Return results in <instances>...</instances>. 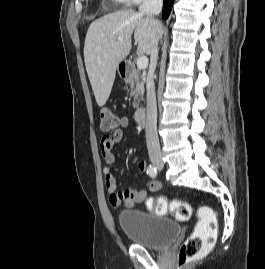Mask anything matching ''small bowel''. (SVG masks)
Wrapping results in <instances>:
<instances>
[{"mask_svg": "<svg viewBox=\"0 0 265 269\" xmlns=\"http://www.w3.org/2000/svg\"><path fill=\"white\" fill-rule=\"evenodd\" d=\"M129 126V119L123 117L121 119V127L126 128ZM123 137V131L120 129L114 134L105 136L101 140V153L107 164L103 168L104 181L106 189L109 193V202L114 207H119L124 204L127 207H134L137 204L142 203L147 197L149 192H156L161 188V185L156 180H150L146 184V189L137 190L134 187H129L125 190L117 191V184L115 177L112 175L109 165L116 162L117 157L113 152V148L117 142ZM147 164L145 160H139L137 163V169L140 173L146 171Z\"/></svg>", "mask_w": 265, "mask_h": 269, "instance_id": "1", "label": "small bowel"}]
</instances>
